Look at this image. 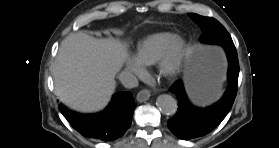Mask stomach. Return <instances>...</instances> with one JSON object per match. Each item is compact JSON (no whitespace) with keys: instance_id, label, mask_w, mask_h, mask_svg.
I'll return each instance as SVG.
<instances>
[{"instance_id":"obj_1","label":"stomach","mask_w":279,"mask_h":148,"mask_svg":"<svg viewBox=\"0 0 279 148\" xmlns=\"http://www.w3.org/2000/svg\"><path fill=\"white\" fill-rule=\"evenodd\" d=\"M223 70L221 55L194 48L187 58V69L190 79L187 81L188 92L198 104L213 100L219 91Z\"/></svg>"}]
</instances>
